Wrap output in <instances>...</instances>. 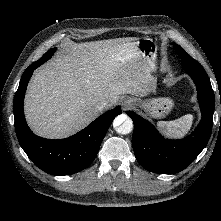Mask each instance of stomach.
<instances>
[{
	"mask_svg": "<svg viewBox=\"0 0 221 221\" xmlns=\"http://www.w3.org/2000/svg\"><path fill=\"white\" fill-rule=\"evenodd\" d=\"M136 46L142 58L152 64V69L150 72L151 84L150 87L154 86V79L152 73L156 71V58L158 46L150 38H142L137 40ZM145 111H147L150 116L154 118H163L165 117L174 107V102L170 98H152L145 101H138Z\"/></svg>",
	"mask_w": 221,
	"mask_h": 221,
	"instance_id": "0dacf381",
	"label": "stomach"
}]
</instances>
